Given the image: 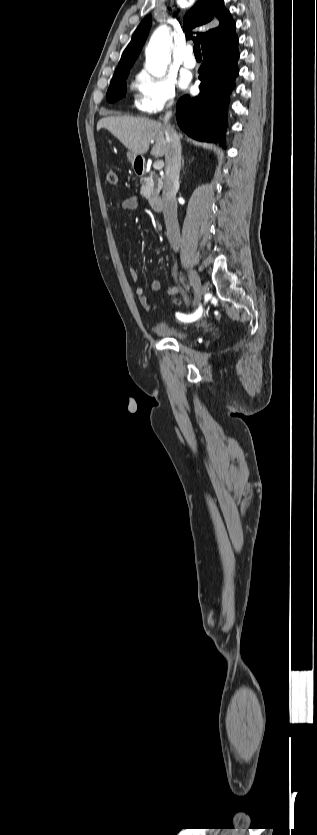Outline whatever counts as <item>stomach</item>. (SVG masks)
<instances>
[{"instance_id": "0dacf381", "label": "stomach", "mask_w": 317, "mask_h": 835, "mask_svg": "<svg viewBox=\"0 0 317 835\" xmlns=\"http://www.w3.org/2000/svg\"><path fill=\"white\" fill-rule=\"evenodd\" d=\"M127 157H128V159H129V161H130L132 164H134V163H135V161H136V160H137L140 156H138V155H134V154H132V153H130V152H129V153L127 154Z\"/></svg>"}]
</instances>
